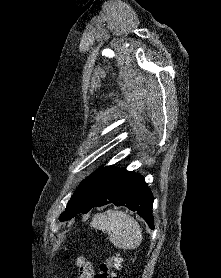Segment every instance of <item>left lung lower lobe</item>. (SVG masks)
<instances>
[{
    "label": "left lung lower lobe",
    "instance_id": "left-lung-lower-lobe-1",
    "mask_svg": "<svg viewBox=\"0 0 221 278\" xmlns=\"http://www.w3.org/2000/svg\"><path fill=\"white\" fill-rule=\"evenodd\" d=\"M110 203L136 211L154 229L153 197L144 178L114 165L102 168L92 178L64 221Z\"/></svg>",
    "mask_w": 221,
    "mask_h": 278
}]
</instances>
